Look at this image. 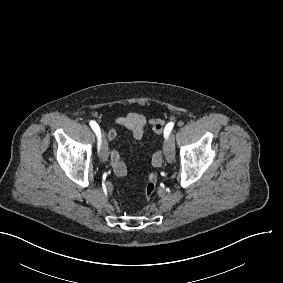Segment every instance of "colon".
I'll list each match as a JSON object with an SVG mask.
<instances>
[{
	"label": "colon",
	"instance_id": "obj_1",
	"mask_svg": "<svg viewBox=\"0 0 283 283\" xmlns=\"http://www.w3.org/2000/svg\"><path fill=\"white\" fill-rule=\"evenodd\" d=\"M153 161H155V159H153ZM156 184H157V175L155 172L152 171L149 173L145 185V191H144L145 201H150L153 198L156 189Z\"/></svg>",
	"mask_w": 283,
	"mask_h": 283
}]
</instances>
